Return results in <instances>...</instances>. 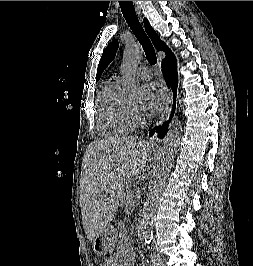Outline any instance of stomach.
Returning a JSON list of instances; mask_svg holds the SVG:
<instances>
[{"instance_id":"1","label":"stomach","mask_w":253,"mask_h":266,"mask_svg":"<svg viewBox=\"0 0 253 266\" xmlns=\"http://www.w3.org/2000/svg\"><path fill=\"white\" fill-rule=\"evenodd\" d=\"M118 240V231L113 225L106 226L102 233L92 243V248L98 256L110 254Z\"/></svg>"}]
</instances>
